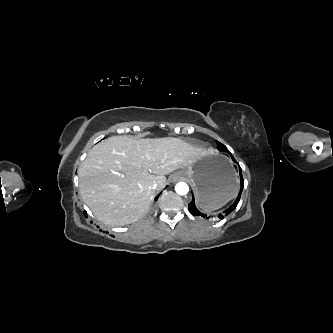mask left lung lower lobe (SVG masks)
Masks as SVG:
<instances>
[{
  "instance_id": "0a47b994",
  "label": "left lung lower lobe",
  "mask_w": 333,
  "mask_h": 333,
  "mask_svg": "<svg viewBox=\"0 0 333 333\" xmlns=\"http://www.w3.org/2000/svg\"><path fill=\"white\" fill-rule=\"evenodd\" d=\"M233 161H235V159H233ZM236 162V161H235ZM239 174H240V182H241V189H240V192L235 200V202L229 207L227 208L226 210L222 211L221 213H218L217 215H212V216H209L207 214H203L201 213L195 206V202H194V198L192 199V201L188 204V210L189 212L194 215V216H201L203 218H207V219H210V218H219V219H223L225 216L229 215L237 206L239 200H240V196H241V193H242V190H243V187H244V180H243V177H242V171H241V168L239 170Z\"/></svg>"
}]
</instances>
